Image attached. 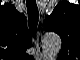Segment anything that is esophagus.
Instances as JSON below:
<instances>
[{"label": "esophagus", "instance_id": "obj_1", "mask_svg": "<svg viewBox=\"0 0 80 60\" xmlns=\"http://www.w3.org/2000/svg\"><path fill=\"white\" fill-rule=\"evenodd\" d=\"M42 43H43V36H42L41 31L38 30L37 31V41H36L38 55L40 57H45L46 56V51L44 50Z\"/></svg>", "mask_w": 80, "mask_h": 60}]
</instances>
